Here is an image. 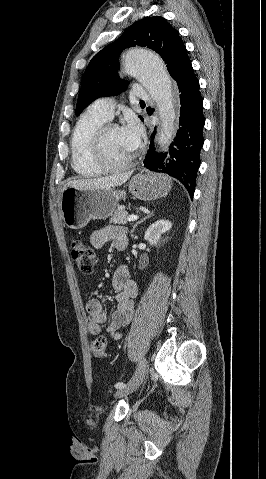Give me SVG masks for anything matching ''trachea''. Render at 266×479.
I'll return each mask as SVG.
<instances>
[{"instance_id":"1","label":"trachea","mask_w":266,"mask_h":479,"mask_svg":"<svg viewBox=\"0 0 266 479\" xmlns=\"http://www.w3.org/2000/svg\"><path fill=\"white\" fill-rule=\"evenodd\" d=\"M140 103H141V104H145V102H144V101H140Z\"/></svg>"}]
</instances>
